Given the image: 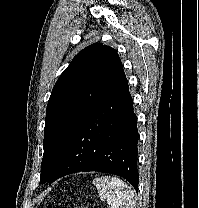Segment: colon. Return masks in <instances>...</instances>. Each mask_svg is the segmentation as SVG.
Masks as SVG:
<instances>
[{
  "mask_svg": "<svg viewBox=\"0 0 199 208\" xmlns=\"http://www.w3.org/2000/svg\"><path fill=\"white\" fill-rule=\"evenodd\" d=\"M47 208H53V206L52 205H48ZM63 208H82V207L66 205Z\"/></svg>",
  "mask_w": 199,
  "mask_h": 208,
  "instance_id": "1",
  "label": "colon"
}]
</instances>
